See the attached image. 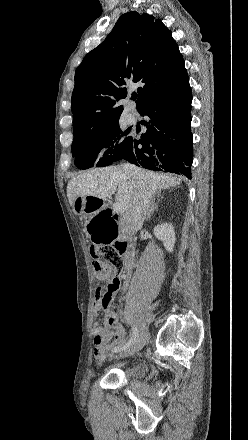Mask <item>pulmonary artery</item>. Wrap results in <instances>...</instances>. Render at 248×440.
Masks as SVG:
<instances>
[{"instance_id": "e3ab8cb5", "label": "pulmonary artery", "mask_w": 248, "mask_h": 440, "mask_svg": "<svg viewBox=\"0 0 248 440\" xmlns=\"http://www.w3.org/2000/svg\"><path fill=\"white\" fill-rule=\"evenodd\" d=\"M128 106L130 107V103H128ZM126 119L128 123H133L136 120V115L134 112L130 111L129 113H127L126 115Z\"/></svg>"}]
</instances>
